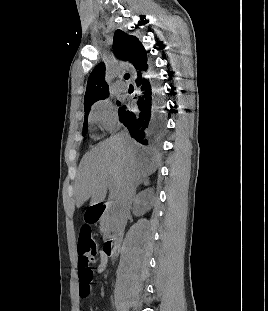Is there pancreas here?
Instances as JSON below:
<instances>
[{"instance_id":"obj_1","label":"pancreas","mask_w":268,"mask_h":311,"mask_svg":"<svg viewBox=\"0 0 268 311\" xmlns=\"http://www.w3.org/2000/svg\"><path fill=\"white\" fill-rule=\"evenodd\" d=\"M114 224V215L106 212L100 219V231L103 233V238H108Z\"/></svg>"}]
</instances>
